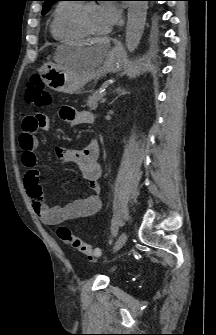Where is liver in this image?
<instances>
[{
    "instance_id": "1",
    "label": "liver",
    "mask_w": 216,
    "mask_h": 335,
    "mask_svg": "<svg viewBox=\"0 0 216 335\" xmlns=\"http://www.w3.org/2000/svg\"><path fill=\"white\" fill-rule=\"evenodd\" d=\"M76 53L69 59L66 68L74 72H85L99 66L110 47L109 39H93L79 43ZM89 49L85 51V47Z\"/></svg>"
}]
</instances>
